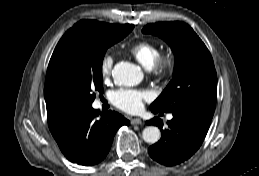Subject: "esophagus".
<instances>
[{
    "instance_id": "obj_1",
    "label": "esophagus",
    "mask_w": 259,
    "mask_h": 176,
    "mask_svg": "<svg viewBox=\"0 0 259 176\" xmlns=\"http://www.w3.org/2000/svg\"><path fill=\"white\" fill-rule=\"evenodd\" d=\"M131 124L132 125H140V124H142V120L140 118H133L131 120Z\"/></svg>"
}]
</instances>
